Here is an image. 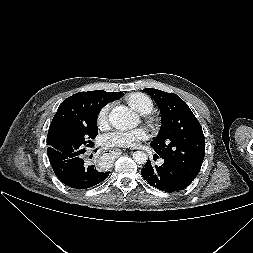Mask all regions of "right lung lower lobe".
<instances>
[{"label": "right lung lower lobe", "instance_id": "obj_1", "mask_svg": "<svg viewBox=\"0 0 253 253\" xmlns=\"http://www.w3.org/2000/svg\"><path fill=\"white\" fill-rule=\"evenodd\" d=\"M84 153L49 158L55 175L70 188H90L105 180L109 175V172H102L95 165H87L84 161Z\"/></svg>", "mask_w": 253, "mask_h": 253}]
</instances>
